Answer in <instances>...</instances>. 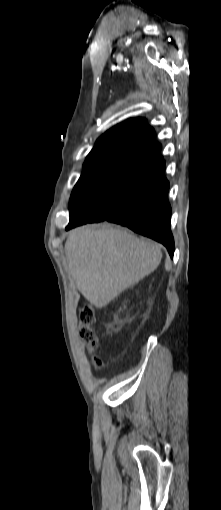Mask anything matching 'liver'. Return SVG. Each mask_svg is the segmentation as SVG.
Returning <instances> with one entry per match:
<instances>
[{"label":"liver","mask_w":221,"mask_h":510,"mask_svg":"<svg viewBox=\"0 0 221 510\" xmlns=\"http://www.w3.org/2000/svg\"><path fill=\"white\" fill-rule=\"evenodd\" d=\"M65 254L77 288L96 308L152 273L162 258L158 243L109 224L72 230Z\"/></svg>","instance_id":"obj_1"}]
</instances>
